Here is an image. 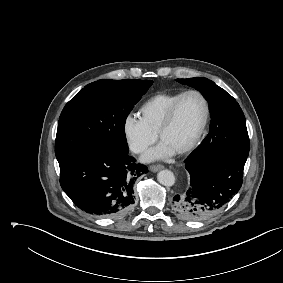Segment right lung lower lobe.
Listing matches in <instances>:
<instances>
[{
    "instance_id": "98d812e1",
    "label": "right lung lower lobe",
    "mask_w": 283,
    "mask_h": 283,
    "mask_svg": "<svg viewBox=\"0 0 283 283\" xmlns=\"http://www.w3.org/2000/svg\"><path fill=\"white\" fill-rule=\"evenodd\" d=\"M128 152L106 146L81 149L59 161L60 185L81 210L99 217L127 213L136 179L148 172Z\"/></svg>"
}]
</instances>
